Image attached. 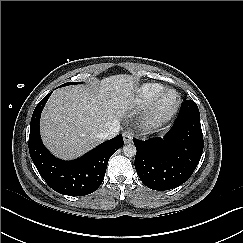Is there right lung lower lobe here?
Wrapping results in <instances>:
<instances>
[{
    "mask_svg": "<svg viewBox=\"0 0 243 243\" xmlns=\"http://www.w3.org/2000/svg\"><path fill=\"white\" fill-rule=\"evenodd\" d=\"M51 93L33 112L29 135L30 156L41 177L56 192L69 196L90 194L101 185L109 158L123 146L122 135L103 142L76 160L57 159L43 145L39 130L41 112Z\"/></svg>",
    "mask_w": 243,
    "mask_h": 243,
    "instance_id": "98d812e1",
    "label": "right lung lower lobe"
}]
</instances>
